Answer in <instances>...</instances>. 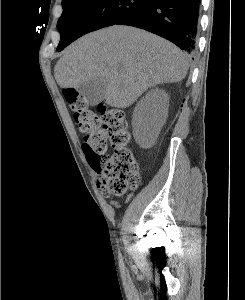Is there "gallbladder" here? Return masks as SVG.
<instances>
[{"label": "gallbladder", "mask_w": 245, "mask_h": 300, "mask_svg": "<svg viewBox=\"0 0 245 300\" xmlns=\"http://www.w3.org/2000/svg\"><path fill=\"white\" fill-rule=\"evenodd\" d=\"M107 85V78L99 77L82 84L79 87V93L89 105L95 106L104 99Z\"/></svg>", "instance_id": "1"}]
</instances>
